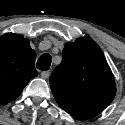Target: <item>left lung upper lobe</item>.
Wrapping results in <instances>:
<instances>
[{
    "label": "left lung upper lobe",
    "instance_id": "5c2ea615",
    "mask_svg": "<svg viewBox=\"0 0 125 125\" xmlns=\"http://www.w3.org/2000/svg\"><path fill=\"white\" fill-rule=\"evenodd\" d=\"M63 59L50 77L59 106L85 120L100 114L114 99L116 85L100 47L85 36L69 42Z\"/></svg>",
    "mask_w": 125,
    "mask_h": 125
}]
</instances>
